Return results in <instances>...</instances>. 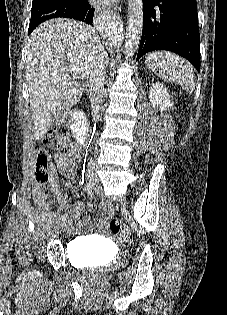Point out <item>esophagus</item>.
<instances>
[{
  "mask_svg": "<svg viewBox=\"0 0 227 315\" xmlns=\"http://www.w3.org/2000/svg\"><path fill=\"white\" fill-rule=\"evenodd\" d=\"M110 14L112 18L116 19L117 22L120 21V16L116 12L110 11Z\"/></svg>",
  "mask_w": 227,
  "mask_h": 315,
  "instance_id": "esophagus-1",
  "label": "esophagus"
}]
</instances>
